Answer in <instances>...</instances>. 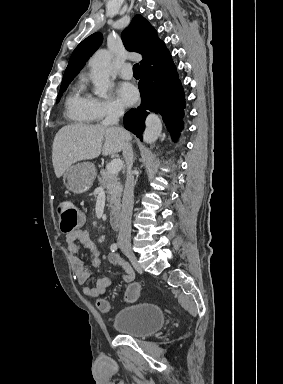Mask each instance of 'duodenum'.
<instances>
[{
  "label": "duodenum",
  "instance_id": "410a0bca",
  "mask_svg": "<svg viewBox=\"0 0 283 384\" xmlns=\"http://www.w3.org/2000/svg\"><path fill=\"white\" fill-rule=\"evenodd\" d=\"M109 219H110V223L112 225V227L118 229L121 227V219H122V215L120 212L116 211V212H113L109 215Z\"/></svg>",
  "mask_w": 283,
  "mask_h": 384
}]
</instances>
